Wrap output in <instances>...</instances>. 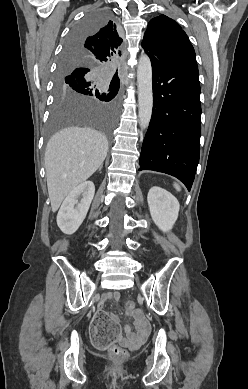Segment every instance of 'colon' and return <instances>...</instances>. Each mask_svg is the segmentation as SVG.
<instances>
[{
	"instance_id": "obj_1",
	"label": "colon",
	"mask_w": 248,
	"mask_h": 389,
	"mask_svg": "<svg viewBox=\"0 0 248 389\" xmlns=\"http://www.w3.org/2000/svg\"><path fill=\"white\" fill-rule=\"evenodd\" d=\"M133 301H127L125 307L127 309L134 308ZM90 332L92 333V346L96 350H107L108 344H114L115 340H120L123 336V331L120 330L119 324L113 322L108 311H97L95 321L90 323ZM108 355L114 362H119L127 356L125 349L119 346H111L108 350Z\"/></svg>"
}]
</instances>
